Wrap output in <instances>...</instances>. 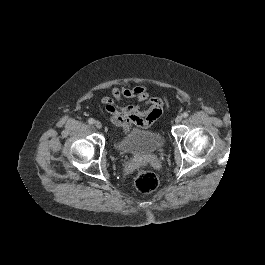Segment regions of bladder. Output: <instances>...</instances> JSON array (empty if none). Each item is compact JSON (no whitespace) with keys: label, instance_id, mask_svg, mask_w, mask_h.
I'll return each instance as SVG.
<instances>
[{"label":"bladder","instance_id":"1","mask_svg":"<svg viewBox=\"0 0 265 265\" xmlns=\"http://www.w3.org/2000/svg\"><path fill=\"white\" fill-rule=\"evenodd\" d=\"M165 144L163 133L134 129L122 137H115V148L130 155H150L162 150Z\"/></svg>","mask_w":265,"mask_h":265}]
</instances>
